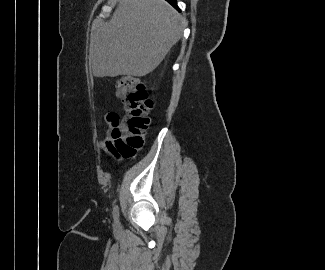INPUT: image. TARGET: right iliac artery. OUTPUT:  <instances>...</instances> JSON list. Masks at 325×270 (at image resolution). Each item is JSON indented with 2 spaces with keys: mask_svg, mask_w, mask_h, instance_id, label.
Masks as SVG:
<instances>
[{
  "mask_svg": "<svg viewBox=\"0 0 325 270\" xmlns=\"http://www.w3.org/2000/svg\"><path fill=\"white\" fill-rule=\"evenodd\" d=\"M113 218L115 220V222L119 221V208L118 206H115L113 209Z\"/></svg>",
  "mask_w": 325,
  "mask_h": 270,
  "instance_id": "82829eb1",
  "label": "right iliac artery"
}]
</instances>
